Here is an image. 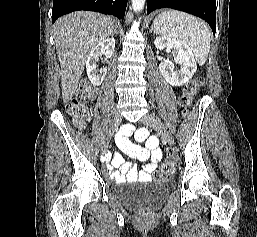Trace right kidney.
I'll return each mask as SVG.
<instances>
[{
    "label": "right kidney",
    "mask_w": 257,
    "mask_h": 237,
    "mask_svg": "<svg viewBox=\"0 0 257 237\" xmlns=\"http://www.w3.org/2000/svg\"><path fill=\"white\" fill-rule=\"evenodd\" d=\"M114 48L115 39L112 37L98 43L89 53L86 60V71L88 78L93 85H101L106 75V69L101 68L98 70L96 63L102 55L110 58L113 55Z\"/></svg>",
    "instance_id": "obj_1"
}]
</instances>
